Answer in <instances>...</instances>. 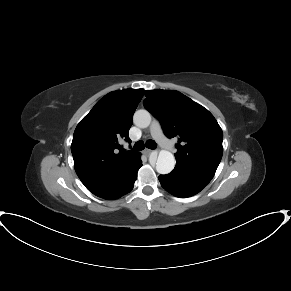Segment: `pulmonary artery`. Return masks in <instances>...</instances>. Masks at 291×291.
Returning a JSON list of instances; mask_svg holds the SVG:
<instances>
[{
  "label": "pulmonary artery",
  "instance_id": "obj_1",
  "mask_svg": "<svg viewBox=\"0 0 291 291\" xmlns=\"http://www.w3.org/2000/svg\"><path fill=\"white\" fill-rule=\"evenodd\" d=\"M150 134L159 144L165 148L169 150L175 148L174 142L163 134L161 124L157 119H154L150 126Z\"/></svg>",
  "mask_w": 291,
  "mask_h": 291
}]
</instances>
